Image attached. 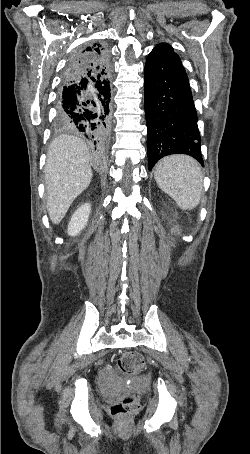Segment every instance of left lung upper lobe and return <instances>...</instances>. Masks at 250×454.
<instances>
[{"mask_svg": "<svg viewBox=\"0 0 250 454\" xmlns=\"http://www.w3.org/2000/svg\"><path fill=\"white\" fill-rule=\"evenodd\" d=\"M152 52H157V53H160V54L168 56V57H172V58H175V59H180L179 56L174 52L173 48L170 45L166 44V43L158 44L152 50Z\"/></svg>", "mask_w": 250, "mask_h": 454, "instance_id": "obj_1", "label": "left lung upper lobe"}]
</instances>
